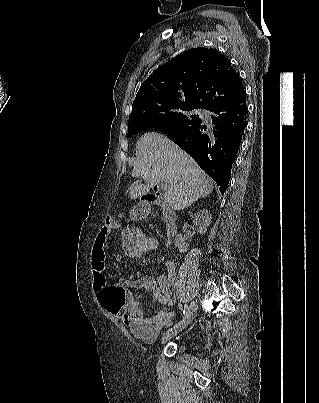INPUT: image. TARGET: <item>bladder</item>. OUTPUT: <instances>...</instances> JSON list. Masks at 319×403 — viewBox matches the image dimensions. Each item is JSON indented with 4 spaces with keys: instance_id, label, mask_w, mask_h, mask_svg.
<instances>
[{
    "instance_id": "bladder-1",
    "label": "bladder",
    "mask_w": 319,
    "mask_h": 403,
    "mask_svg": "<svg viewBox=\"0 0 319 403\" xmlns=\"http://www.w3.org/2000/svg\"><path fill=\"white\" fill-rule=\"evenodd\" d=\"M198 339L197 333H187L180 337L181 344L187 347H195L196 341Z\"/></svg>"
}]
</instances>
